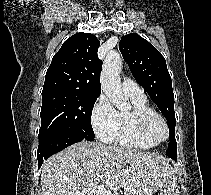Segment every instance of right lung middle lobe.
Wrapping results in <instances>:
<instances>
[{
	"instance_id": "right-lung-middle-lobe-1",
	"label": "right lung middle lobe",
	"mask_w": 211,
	"mask_h": 195,
	"mask_svg": "<svg viewBox=\"0 0 211 195\" xmlns=\"http://www.w3.org/2000/svg\"><path fill=\"white\" fill-rule=\"evenodd\" d=\"M97 98L65 91L42 93L39 141L59 134H79L94 140L91 114Z\"/></svg>"
}]
</instances>
